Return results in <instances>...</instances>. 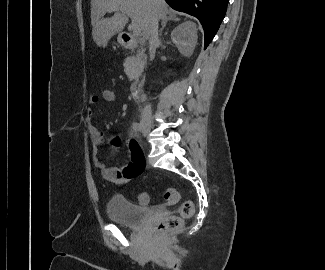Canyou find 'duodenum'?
I'll return each instance as SVG.
<instances>
[{"mask_svg": "<svg viewBox=\"0 0 325 270\" xmlns=\"http://www.w3.org/2000/svg\"><path fill=\"white\" fill-rule=\"evenodd\" d=\"M122 41L123 44L126 48L128 49H134L137 47L138 42L137 39L135 38L134 35L127 33V32H123L122 35ZM132 96L134 98V100L136 102H141L143 99V89L142 86L140 84H136L133 86L132 88Z\"/></svg>", "mask_w": 325, "mask_h": 270, "instance_id": "duodenum-1", "label": "duodenum"}]
</instances>
